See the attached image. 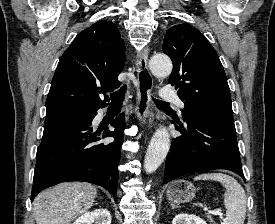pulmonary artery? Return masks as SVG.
<instances>
[{
    "instance_id": "1",
    "label": "pulmonary artery",
    "mask_w": 275,
    "mask_h": 224,
    "mask_svg": "<svg viewBox=\"0 0 275 224\" xmlns=\"http://www.w3.org/2000/svg\"><path fill=\"white\" fill-rule=\"evenodd\" d=\"M160 97L164 101L175 102L180 108L184 107V102L179 98L178 94L173 89H162L160 91Z\"/></svg>"
}]
</instances>
